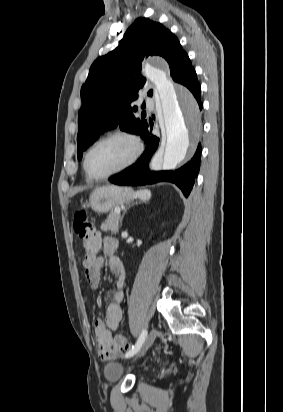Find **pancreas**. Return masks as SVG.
Listing matches in <instances>:
<instances>
[{
	"mask_svg": "<svg viewBox=\"0 0 283 412\" xmlns=\"http://www.w3.org/2000/svg\"><path fill=\"white\" fill-rule=\"evenodd\" d=\"M119 222L121 223L120 214L116 213L115 211H112L108 215L105 222L101 224L100 228L104 232L111 231L112 233L116 234L119 231Z\"/></svg>",
	"mask_w": 283,
	"mask_h": 412,
	"instance_id": "obj_1",
	"label": "pancreas"
}]
</instances>
